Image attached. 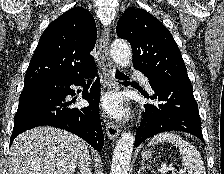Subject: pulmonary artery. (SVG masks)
Masks as SVG:
<instances>
[{
	"label": "pulmonary artery",
	"mask_w": 224,
	"mask_h": 174,
	"mask_svg": "<svg viewBox=\"0 0 224 174\" xmlns=\"http://www.w3.org/2000/svg\"><path fill=\"white\" fill-rule=\"evenodd\" d=\"M133 74L135 76L140 77L142 79L144 85L146 86V88L149 89V90H151V87H150V84H149V81H148L147 77H145L141 72L136 71V70L133 71Z\"/></svg>",
	"instance_id": "obj_1"
}]
</instances>
